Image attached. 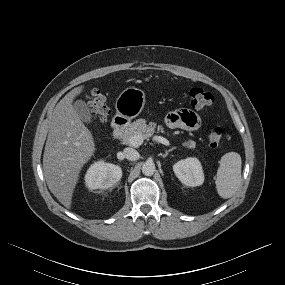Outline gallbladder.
<instances>
[{
  "mask_svg": "<svg viewBox=\"0 0 285 285\" xmlns=\"http://www.w3.org/2000/svg\"><path fill=\"white\" fill-rule=\"evenodd\" d=\"M74 108L78 116L83 122L91 123L93 121L91 113H90V109L84 101L82 100L75 101Z\"/></svg>",
  "mask_w": 285,
  "mask_h": 285,
  "instance_id": "bac80fb5",
  "label": "gallbladder"
}]
</instances>
